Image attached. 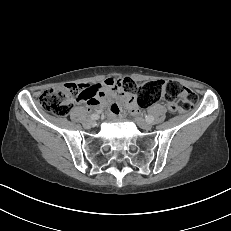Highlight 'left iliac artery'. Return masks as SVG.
<instances>
[{
  "mask_svg": "<svg viewBox=\"0 0 231 231\" xmlns=\"http://www.w3.org/2000/svg\"><path fill=\"white\" fill-rule=\"evenodd\" d=\"M145 119L147 122L151 123L153 121V117L151 115H146Z\"/></svg>",
  "mask_w": 231,
  "mask_h": 231,
  "instance_id": "44dca946",
  "label": "left iliac artery"
}]
</instances>
